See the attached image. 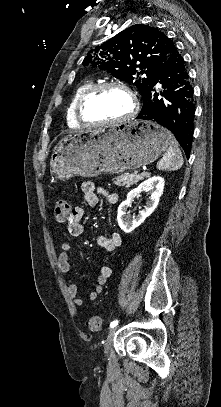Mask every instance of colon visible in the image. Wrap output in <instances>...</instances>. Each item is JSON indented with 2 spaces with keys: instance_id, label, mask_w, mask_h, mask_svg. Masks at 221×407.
I'll return each instance as SVG.
<instances>
[{
  "instance_id": "obj_1",
  "label": "colon",
  "mask_w": 221,
  "mask_h": 407,
  "mask_svg": "<svg viewBox=\"0 0 221 407\" xmlns=\"http://www.w3.org/2000/svg\"><path fill=\"white\" fill-rule=\"evenodd\" d=\"M72 212L73 208L66 201L58 202L54 209L55 218L61 223L68 222ZM87 326L91 332H100L102 330L103 320L100 316H93L88 320Z\"/></svg>"
}]
</instances>
